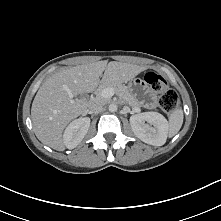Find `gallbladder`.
Listing matches in <instances>:
<instances>
[{"instance_id":"bac80fb5","label":"gallbladder","mask_w":221,"mask_h":221,"mask_svg":"<svg viewBox=\"0 0 221 221\" xmlns=\"http://www.w3.org/2000/svg\"><path fill=\"white\" fill-rule=\"evenodd\" d=\"M77 97L78 98H85V94H79Z\"/></svg>"}]
</instances>
